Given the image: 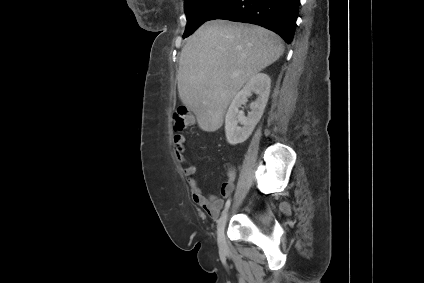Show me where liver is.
<instances>
[{"mask_svg":"<svg viewBox=\"0 0 424 283\" xmlns=\"http://www.w3.org/2000/svg\"><path fill=\"white\" fill-rule=\"evenodd\" d=\"M283 53L281 38L264 27L220 19L206 22L182 48L179 97L196 115L199 128L214 132L242 86Z\"/></svg>","mask_w":424,"mask_h":283,"instance_id":"6515ba94","label":"liver"}]
</instances>
